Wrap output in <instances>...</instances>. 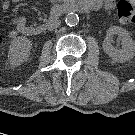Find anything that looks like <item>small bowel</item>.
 Instances as JSON below:
<instances>
[{
  "mask_svg": "<svg viewBox=\"0 0 135 135\" xmlns=\"http://www.w3.org/2000/svg\"><path fill=\"white\" fill-rule=\"evenodd\" d=\"M22 0H4L1 4V7L4 10H7L11 6L12 3H18ZM52 2H55L57 0H51ZM86 3H89L91 5V9H99L102 8L106 11L112 10L114 7V0H86ZM15 28L10 31L9 36L11 38L16 37L19 34H24L27 29V23L26 19L24 17H18L14 20Z\"/></svg>",
  "mask_w": 135,
  "mask_h": 135,
  "instance_id": "small-bowel-1",
  "label": "small bowel"
}]
</instances>
